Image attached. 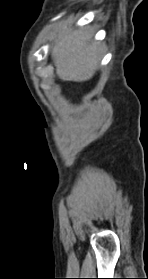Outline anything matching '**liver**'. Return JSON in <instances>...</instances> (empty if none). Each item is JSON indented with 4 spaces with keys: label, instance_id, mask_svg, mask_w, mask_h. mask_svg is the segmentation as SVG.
Listing matches in <instances>:
<instances>
[{
    "label": "liver",
    "instance_id": "obj_1",
    "mask_svg": "<svg viewBox=\"0 0 148 279\" xmlns=\"http://www.w3.org/2000/svg\"><path fill=\"white\" fill-rule=\"evenodd\" d=\"M56 74L64 81L83 82L91 79L101 59L98 44L86 28L63 27L51 48Z\"/></svg>",
    "mask_w": 148,
    "mask_h": 279
}]
</instances>
